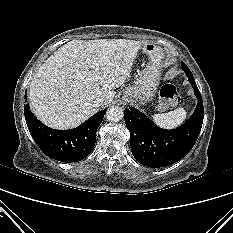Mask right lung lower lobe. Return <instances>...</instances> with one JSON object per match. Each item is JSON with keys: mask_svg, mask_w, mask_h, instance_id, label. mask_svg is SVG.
Segmentation results:
<instances>
[{"mask_svg": "<svg viewBox=\"0 0 233 233\" xmlns=\"http://www.w3.org/2000/svg\"><path fill=\"white\" fill-rule=\"evenodd\" d=\"M106 111L96 113L74 129L56 130L37 120L28 104L24 106L27 127L35 143L50 158L66 163L81 161L90 154L95 145L96 131Z\"/></svg>", "mask_w": 233, "mask_h": 233, "instance_id": "obj_1", "label": "right lung lower lobe"}]
</instances>
